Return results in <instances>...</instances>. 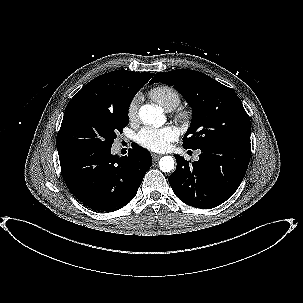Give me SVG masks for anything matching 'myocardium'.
Segmentation results:
<instances>
[{"instance_id":"myocardium-1","label":"myocardium","mask_w":303,"mask_h":303,"mask_svg":"<svg viewBox=\"0 0 303 303\" xmlns=\"http://www.w3.org/2000/svg\"><path fill=\"white\" fill-rule=\"evenodd\" d=\"M176 117L182 122H189L191 119V113L187 110H180L177 112Z\"/></svg>"}]
</instances>
